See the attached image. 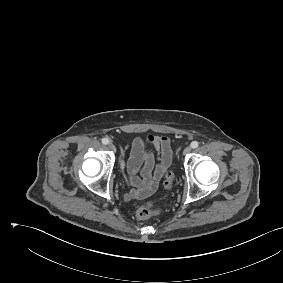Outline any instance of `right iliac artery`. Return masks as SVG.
<instances>
[{"label":"right iliac artery","instance_id":"1","mask_svg":"<svg viewBox=\"0 0 283 283\" xmlns=\"http://www.w3.org/2000/svg\"><path fill=\"white\" fill-rule=\"evenodd\" d=\"M102 143L105 144V145H107V144L109 143V140H108L107 138H103V139H102Z\"/></svg>","mask_w":283,"mask_h":283}]
</instances>
